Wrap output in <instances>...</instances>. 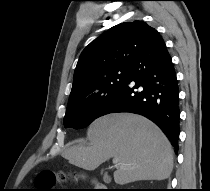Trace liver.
<instances>
[{
	"label": "liver",
	"mask_w": 210,
	"mask_h": 191,
	"mask_svg": "<svg viewBox=\"0 0 210 191\" xmlns=\"http://www.w3.org/2000/svg\"><path fill=\"white\" fill-rule=\"evenodd\" d=\"M87 137L88 146H71L62 156L86 170H94L117 157V184L164 180L172 172L174 152L169 140L154 123L140 115L114 113L100 117L89 126Z\"/></svg>",
	"instance_id": "6515ba94"
}]
</instances>
